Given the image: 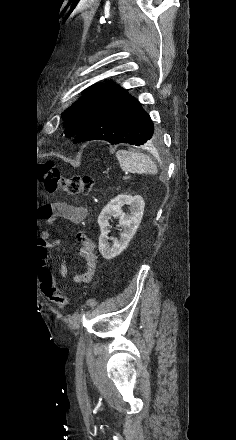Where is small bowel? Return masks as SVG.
<instances>
[{
    "instance_id": "small-bowel-1",
    "label": "small bowel",
    "mask_w": 236,
    "mask_h": 440,
    "mask_svg": "<svg viewBox=\"0 0 236 440\" xmlns=\"http://www.w3.org/2000/svg\"><path fill=\"white\" fill-rule=\"evenodd\" d=\"M87 213L88 210L85 206L73 205L66 202H56L47 207H42L39 210L40 216L46 219L49 223H54L59 219H66L72 223L78 224L84 221ZM77 239L81 244L80 255L85 260V270L82 273L75 274L72 280L76 284H83L91 281L94 277L98 268V260L93 242L86 238L82 233L77 234ZM54 245H57V242H54ZM59 274L63 279L68 277V267L65 262L61 264Z\"/></svg>"
}]
</instances>
